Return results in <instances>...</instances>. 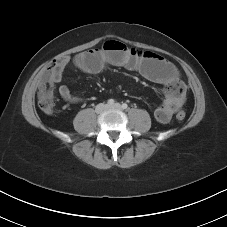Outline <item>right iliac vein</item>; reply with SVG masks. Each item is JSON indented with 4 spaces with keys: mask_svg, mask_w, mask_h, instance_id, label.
I'll list each match as a JSON object with an SVG mask.
<instances>
[{
    "mask_svg": "<svg viewBox=\"0 0 227 227\" xmlns=\"http://www.w3.org/2000/svg\"><path fill=\"white\" fill-rule=\"evenodd\" d=\"M107 108H108V106L106 104L101 103L96 106L95 111L99 114V113H102L103 111H105Z\"/></svg>",
    "mask_w": 227,
    "mask_h": 227,
    "instance_id": "right-iliac-vein-1",
    "label": "right iliac vein"
}]
</instances>
